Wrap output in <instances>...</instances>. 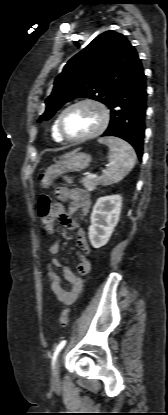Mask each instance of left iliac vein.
<instances>
[{"label": "left iliac vein", "instance_id": "4c4485c4", "mask_svg": "<svg viewBox=\"0 0 168 415\" xmlns=\"http://www.w3.org/2000/svg\"><path fill=\"white\" fill-rule=\"evenodd\" d=\"M59 367H60V356L55 361L53 372H52V380L54 382L58 381L59 379Z\"/></svg>", "mask_w": 168, "mask_h": 415}]
</instances>
